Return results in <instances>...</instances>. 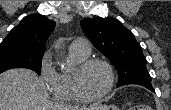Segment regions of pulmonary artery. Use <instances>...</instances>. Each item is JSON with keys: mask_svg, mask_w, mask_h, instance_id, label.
Returning <instances> with one entry per match:
<instances>
[{"mask_svg": "<svg viewBox=\"0 0 171 110\" xmlns=\"http://www.w3.org/2000/svg\"><path fill=\"white\" fill-rule=\"evenodd\" d=\"M70 47L86 54H89L91 52L90 42L83 38H77L73 40Z\"/></svg>", "mask_w": 171, "mask_h": 110, "instance_id": "obj_1", "label": "pulmonary artery"}]
</instances>
